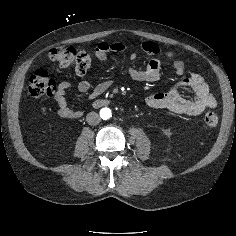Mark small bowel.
Returning a JSON list of instances; mask_svg holds the SVG:
<instances>
[{"label":"small bowel","instance_id":"1","mask_svg":"<svg viewBox=\"0 0 236 236\" xmlns=\"http://www.w3.org/2000/svg\"><path fill=\"white\" fill-rule=\"evenodd\" d=\"M142 50L150 55L146 68L137 69L133 66L129 67L130 77L138 82H154L160 77L161 61L158 58L160 49L158 45L152 41H144L141 45ZM110 52L126 53L130 61H134L137 57L136 52L131 51L129 47L122 42H100L95 48V56L97 60L104 64L108 60ZM166 57L171 61L172 67L178 76H182L181 81L167 93H156L146 98V104L151 108L167 109L176 114L183 115H199L206 109L214 108L217 104L216 99L210 93L208 85L201 75L191 73L185 76V64L182 60L176 58L173 53H167ZM112 82L110 80L103 81L95 86L93 95H100L106 92ZM92 87L91 77L83 79L78 84V89L82 93H88ZM190 88L193 91L194 97L191 99L184 98L180 90L182 88ZM71 89V84L67 81H62L57 87L54 96V102L57 106L58 114L63 118H78L81 116V111L69 107L66 100V93Z\"/></svg>","mask_w":236,"mask_h":236}]
</instances>
